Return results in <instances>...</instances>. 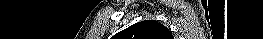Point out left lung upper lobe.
I'll return each mask as SVG.
<instances>
[{"instance_id": "5c2ea615", "label": "left lung upper lobe", "mask_w": 263, "mask_h": 39, "mask_svg": "<svg viewBox=\"0 0 263 39\" xmlns=\"http://www.w3.org/2000/svg\"><path fill=\"white\" fill-rule=\"evenodd\" d=\"M116 39H174L167 27L154 20L133 24L118 34Z\"/></svg>"}]
</instances>
